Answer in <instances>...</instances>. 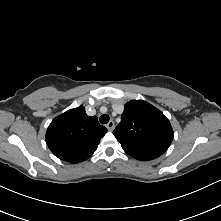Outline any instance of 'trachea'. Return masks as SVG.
I'll return each instance as SVG.
<instances>
[{"mask_svg":"<svg viewBox=\"0 0 221 221\" xmlns=\"http://www.w3.org/2000/svg\"><path fill=\"white\" fill-rule=\"evenodd\" d=\"M99 120L101 124H106L109 122L110 118H109V115L103 114Z\"/></svg>","mask_w":221,"mask_h":221,"instance_id":"1","label":"trachea"}]
</instances>
